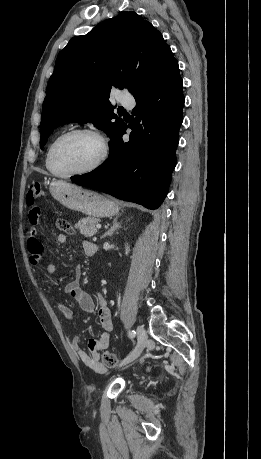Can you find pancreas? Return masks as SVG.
I'll use <instances>...</instances> for the list:
<instances>
[{"mask_svg":"<svg viewBox=\"0 0 261 459\" xmlns=\"http://www.w3.org/2000/svg\"><path fill=\"white\" fill-rule=\"evenodd\" d=\"M99 222V218L86 217L81 219L75 227L78 228L80 233L85 237H91L98 232L96 225L99 224Z\"/></svg>","mask_w":261,"mask_h":459,"instance_id":"obj_1","label":"pancreas"}]
</instances>
